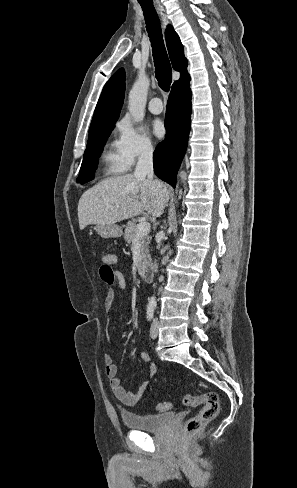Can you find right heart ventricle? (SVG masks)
<instances>
[{
  "instance_id": "e07e8e85",
  "label": "right heart ventricle",
  "mask_w": 297,
  "mask_h": 488,
  "mask_svg": "<svg viewBox=\"0 0 297 488\" xmlns=\"http://www.w3.org/2000/svg\"><path fill=\"white\" fill-rule=\"evenodd\" d=\"M102 162L107 174H119L127 169L118 151L117 142L107 144L103 152Z\"/></svg>"
}]
</instances>
